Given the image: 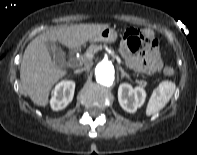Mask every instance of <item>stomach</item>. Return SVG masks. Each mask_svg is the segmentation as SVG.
<instances>
[{"mask_svg": "<svg viewBox=\"0 0 197 155\" xmlns=\"http://www.w3.org/2000/svg\"><path fill=\"white\" fill-rule=\"evenodd\" d=\"M117 39V32L112 28H105L94 36L90 41L92 42H106L112 43Z\"/></svg>", "mask_w": 197, "mask_h": 155, "instance_id": "obj_1", "label": "stomach"}]
</instances>
